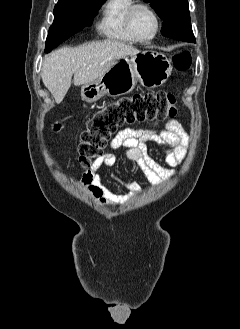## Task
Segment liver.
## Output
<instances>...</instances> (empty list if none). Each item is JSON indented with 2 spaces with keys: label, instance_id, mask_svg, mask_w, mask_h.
<instances>
[{
  "label": "liver",
  "instance_id": "1",
  "mask_svg": "<svg viewBox=\"0 0 240 329\" xmlns=\"http://www.w3.org/2000/svg\"><path fill=\"white\" fill-rule=\"evenodd\" d=\"M140 51L123 42L106 40L79 47H63L45 57L41 77L56 103H61L71 86L83 85L103 76L119 59Z\"/></svg>",
  "mask_w": 240,
  "mask_h": 329
}]
</instances>
